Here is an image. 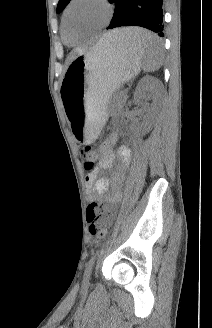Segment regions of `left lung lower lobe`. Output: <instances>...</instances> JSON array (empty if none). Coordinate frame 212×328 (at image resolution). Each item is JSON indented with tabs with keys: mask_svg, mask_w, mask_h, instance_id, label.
I'll list each match as a JSON object with an SVG mask.
<instances>
[{
	"mask_svg": "<svg viewBox=\"0 0 212 328\" xmlns=\"http://www.w3.org/2000/svg\"><path fill=\"white\" fill-rule=\"evenodd\" d=\"M115 5L114 16L107 29L121 26H141L163 37V0H108ZM158 42L148 41L149 46Z\"/></svg>",
	"mask_w": 212,
	"mask_h": 328,
	"instance_id": "1",
	"label": "left lung lower lobe"
}]
</instances>
